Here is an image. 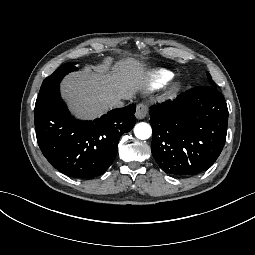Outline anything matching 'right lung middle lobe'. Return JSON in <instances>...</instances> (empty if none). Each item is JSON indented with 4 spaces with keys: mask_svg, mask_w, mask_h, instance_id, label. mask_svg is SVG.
<instances>
[{
    "mask_svg": "<svg viewBox=\"0 0 255 255\" xmlns=\"http://www.w3.org/2000/svg\"><path fill=\"white\" fill-rule=\"evenodd\" d=\"M76 70L77 68L75 67V63H66L60 66L53 74H51L43 81L39 94L47 90L59 87V83L61 82L63 77L66 74Z\"/></svg>",
    "mask_w": 255,
    "mask_h": 255,
    "instance_id": "right-lung-middle-lobe-1",
    "label": "right lung middle lobe"
}]
</instances>
